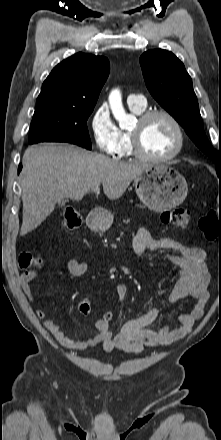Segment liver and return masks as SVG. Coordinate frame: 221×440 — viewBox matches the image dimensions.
Instances as JSON below:
<instances>
[{"label":"liver","instance_id":"obj_1","mask_svg":"<svg viewBox=\"0 0 221 440\" xmlns=\"http://www.w3.org/2000/svg\"><path fill=\"white\" fill-rule=\"evenodd\" d=\"M151 165L123 162L75 146L41 143L23 156L20 235L36 229L63 198L80 201L100 184L110 200L119 199L133 179Z\"/></svg>","mask_w":221,"mask_h":440}]
</instances>
